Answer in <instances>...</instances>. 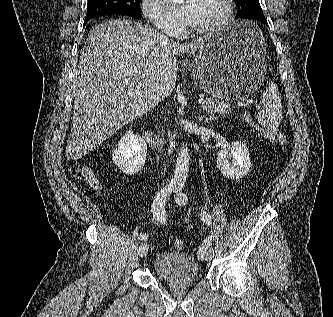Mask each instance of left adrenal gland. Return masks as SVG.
I'll list each match as a JSON object with an SVG mask.
<instances>
[{
	"label": "left adrenal gland",
	"mask_w": 333,
	"mask_h": 317,
	"mask_svg": "<svg viewBox=\"0 0 333 317\" xmlns=\"http://www.w3.org/2000/svg\"><path fill=\"white\" fill-rule=\"evenodd\" d=\"M204 117H205L204 115H201V116L198 115L197 119L202 120Z\"/></svg>",
	"instance_id": "1"
}]
</instances>
